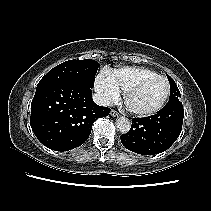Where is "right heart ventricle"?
<instances>
[{
	"label": "right heart ventricle",
	"instance_id": "e07e8e85",
	"mask_svg": "<svg viewBox=\"0 0 211 211\" xmlns=\"http://www.w3.org/2000/svg\"><path fill=\"white\" fill-rule=\"evenodd\" d=\"M110 74L119 90L125 93L139 81L158 73L149 68L127 66L114 69Z\"/></svg>",
	"mask_w": 211,
	"mask_h": 211
}]
</instances>
